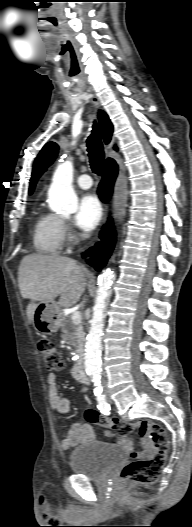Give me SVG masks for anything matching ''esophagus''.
I'll list each match as a JSON object with an SVG mask.
<instances>
[{"instance_id":"1","label":"esophagus","mask_w":192,"mask_h":527,"mask_svg":"<svg viewBox=\"0 0 192 527\" xmlns=\"http://www.w3.org/2000/svg\"><path fill=\"white\" fill-rule=\"evenodd\" d=\"M91 100H92L93 104L95 105V107L98 109L100 107L98 98L95 95H92L91 96ZM106 211H107V207L105 206V214H104L103 223H105V221H106Z\"/></svg>"}]
</instances>
